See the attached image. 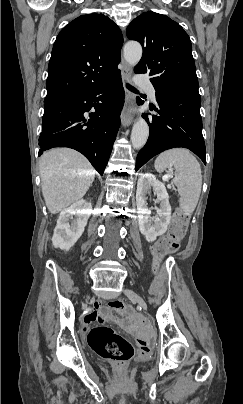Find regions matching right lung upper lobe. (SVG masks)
<instances>
[{
  "label": "right lung upper lobe",
  "instance_id": "1",
  "mask_svg": "<svg viewBox=\"0 0 243 404\" xmlns=\"http://www.w3.org/2000/svg\"><path fill=\"white\" fill-rule=\"evenodd\" d=\"M122 44L119 27L103 14L71 21L53 46L44 103L87 92L119 76Z\"/></svg>",
  "mask_w": 243,
  "mask_h": 404
}]
</instances>
